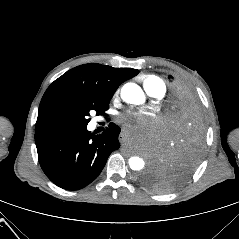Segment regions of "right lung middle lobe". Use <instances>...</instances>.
<instances>
[{
    "label": "right lung middle lobe",
    "mask_w": 239,
    "mask_h": 239,
    "mask_svg": "<svg viewBox=\"0 0 239 239\" xmlns=\"http://www.w3.org/2000/svg\"><path fill=\"white\" fill-rule=\"evenodd\" d=\"M108 108L109 101H87L77 107L57 109L41 119L36 128L40 131H53L87 126L91 111H96L99 114Z\"/></svg>",
    "instance_id": "1"
}]
</instances>
